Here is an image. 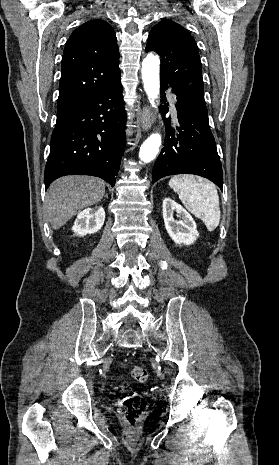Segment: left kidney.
<instances>
[{"instance_id": "obj_1", "label": "left kidney", "mask_w": 279, "mask_h": 465, "mask_svg": "<svg viewBox=\"0 0 279 465\" xmlns=\"http://www.w3.org/2000/svg\"><path fill=\"white\" fill-rule=\"evenodd\" d=\"M163 219L171 239L178 245H191L199 236L192 216L177 202L167 197L163 200ZM176 212L180 220H175Z\"/></svg>"}]
</instances>
